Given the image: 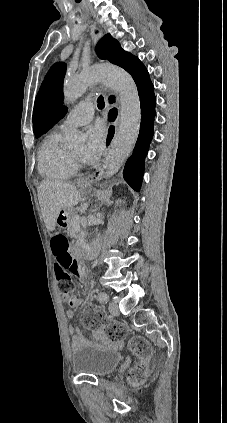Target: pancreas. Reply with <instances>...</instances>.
Masks as SVG:
<instances>
[{
	"instance_id": "pancreas-1",
	"label": "pancreas",
	"mask_w": 227,
	"mask_h": 423,
	"mask_svg": "<svg viewBox=\"0 0 227 423\" xmlns=\"http://www.w3.org/2000/svg\"><path fill=\"white\" fill-rule=\"evenodd\" d=\"M75 215H77V213L74 210L69 219L68 233L71 235V237H77V235H80L81 233L80 225H78L77 221H73V217H75Z\"/></svg>"
}]
</instances>
